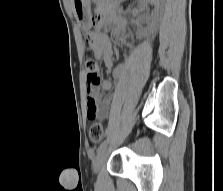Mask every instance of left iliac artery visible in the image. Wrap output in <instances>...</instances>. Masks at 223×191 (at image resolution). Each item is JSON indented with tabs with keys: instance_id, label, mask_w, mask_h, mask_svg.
<instances>
[{
	"instance_id": "1",
	"label": "left iliac artery",
	"mask_w": 223,
	"mask_h": 191,
	"mask_svg": "<svg viewBox=\"0 0 223 191\" xmlns=\"http://www.w3.org/2000/svg\"><path fill=\"white\" fill-rule=\"evenodd\" d=\"M107 146V140H104L98 147L97 149V154H99L100 152H102Z\"/></svg>"
}]
</instances>
